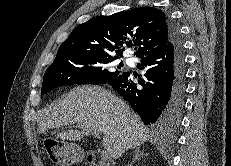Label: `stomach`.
Here are the masks:
<instances>
[{
  "mask_svg": "<svg viewBox=\"0 0 231 166\" xmlns=\"http://www.w3.org/2000/svg\"><path fill=\"white\" fill-rule=\"evenodd\" d=\"M52 162L60 166H69L81 162L84 158L83 149L74 142L51 139L50 145H44Z\"/></svg>",
  "mask_w": 231,
  "mask_h": 166,
  "instance_id": "1",
  "label": "stomach"
}]
</instances>
